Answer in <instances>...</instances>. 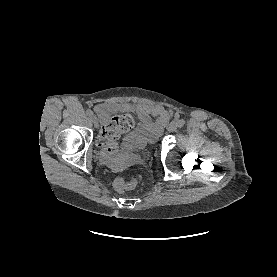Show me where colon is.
Segmentation results:
<instances>
[{
  "mask_svg": "<svg viewBox=\"0 0 277 277\" xmlns=\"http://www.w3.org/2000/svg\"><path fill=\"white\" fill-rule=\"evenodd\" d=\"M134 125V119L131 115L113 116L104 125L97 138L98 146L102 152L108 155H115L118 152V139L121 135L129 132ZM113 187L117 192L125 193L134 189V184L125 178H117L113 182Z\"/></svg>",
  "mask_w": 277,
  "mask_h": 277,
  "instance_id": "obj_1",
  "label": "colon"
}]
</instances>
